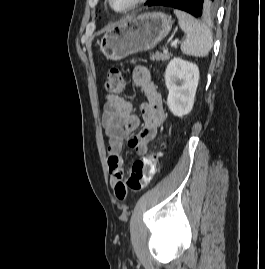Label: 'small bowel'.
<instances>
[{"label": "small bowel", "mask_w": 265, "mask_h": 269, "mask_svg": "<svg viewBox=\"0 0 265 269\" xmlns=\"http://www.w3.org/2000/svg\"><path fill=\"white\" fill-rule=\"evenodd\" d=\"M132 77L144 97L141 105L143 129L136 136L130 137L140 124L139 117L133 113L130 100L107 95L102 114V125L108 140L110 185L115 194L117 187L124 184L121 156L124 141L127 140L128 146L136 154H147L149 145L165 120L162 97L154 85L150 71L145 66H136Z\"/></svg>", "instance_id": "1"}]
</instances>
